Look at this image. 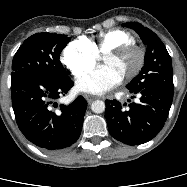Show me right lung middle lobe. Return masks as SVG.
Masks as SVG:
<instances>
[{
    "label": "right lung middle lobe",
    "instance_id": "dd1d6c3e",
    "mask_svg": "<svg viewBox=\"0 0 187 187\" xmlns=\"http://www.w3.org/2000/svg\"><path fill=\"white\" fill-rule=\"evenodd\" d=\"M69 41L67 35L47 32L27 38L14 55L11 80L24 75L66 77V70L59 59Z\"/></svg>",
    "mask_w": 187,
    "mask_h": 187
}]
</instances>
